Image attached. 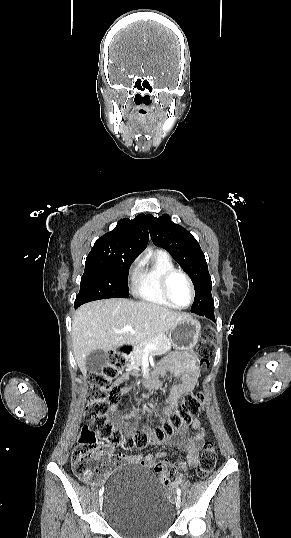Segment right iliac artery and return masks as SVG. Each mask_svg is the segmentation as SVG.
Listing matches in <instances>:
<instances>
[{
	"instance_id": "1",
	"label": "right iliac artery",
	"mask_w": 291,
	"mask_h": 538,
	"mask_svg": "<svg viewBox=\"0 0 291 538\" xmlns=\"http://www.w3.org/2000/svg\"><path fill=\"white\" fill-rule=\"evenodd\" d=\"M103 492H104V488L102 487V488L100 489V491H99V495L101 496V495L103 494Z\"/></svg>"
}]
</instances>
